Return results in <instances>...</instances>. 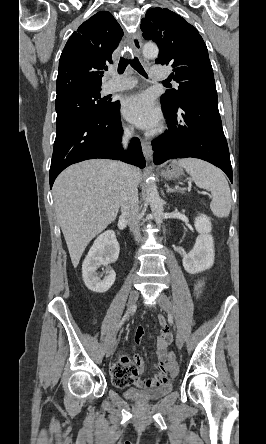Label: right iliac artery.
<instances>
[{
  "label": "right iliac artery",
  "instance_id": "right-iliac-artery-1",
  "mask_svg": "<svg viewBox=\"0 0 266 444\" xmlns=\"http://www.w3.org/2000/svg\"><path fill=\"white\" fill-rule=\"evenodd\" d=\"M135 308H136L135 305L132 306V307L130 308V310H128V311L124 314L122 320L120 321V323H119V325H118V328H121V326L124 324V322H125L126 319L128 318L130 312L133 311Z\"/></svg>",
  "mask_w": 266,
  "mask_h": 444
}]
</instances>
